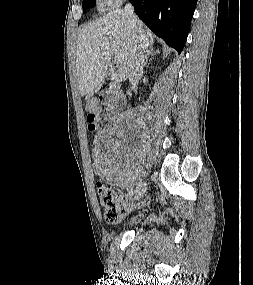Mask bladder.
<instances>
[{
    "instance_id": "1",
    "label": "bladder",
    "mask_w": 253,
    "mask_h": 285,
    "mask_svg": "<svg viewBox=\"0 0 253 285\" xmlns=\"http://www.w3.org/2000/svg\"><path fill=\"white\" fill-rule=\"evenodd\" d=\"M146 218V214L145 213H140L136 216H134L133 218H131L128 223H127V227L131 228L136 226L138 223L142 222L144 219Z\"/></svg>"
}]
</instances>
